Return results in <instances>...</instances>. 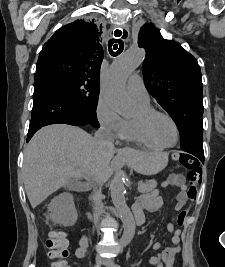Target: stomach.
<instances>
[{
    "mask_svg": "<svg viewBox=\"0 0 225 267\" xmlns=\"http://www.w3.org/2000/svg\"><path fill=\"white\" fill-rule=\"evenodd\" d=\"M167 165L166 154H150L144 160L143 167L147 174H156Z\"/></svg>",
    "mask_w": 225,
    "mask_h": 267,
    "instance_id": "obj_1",
    "label": "stomach"
}]
</instances>
